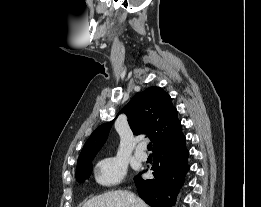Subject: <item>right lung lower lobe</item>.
<instances>
[{"label":"right lung lower lobe","mask_w":261,"mask_h":207,"mask_svg":"<svg viewBox=\"0 0 261 207\" xmlns=\"http://www.w3.org/2000/svg\"><path fill=\"white\" fill-rule=\"evenodd\" d=\"M185 141L186 138L183 136L178 141L153 152V179L143 180L140 175L134 178L139 196L150 206L172 207L175 204L176 195L189 170V152L185 147ZM168 194H171L170 199L167 197Z\"/></svg>","instance_id":"1"}]
</instances>
